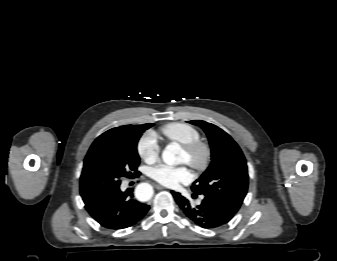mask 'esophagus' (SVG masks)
Returning a JSON list of instances; mask_svg holds the SVG:
<instances>
[{
    "instance_id": "34e87169",
    "label": "esophagus",
    "mask_w": 337,
    "mask_h": 261,
    "mask_svg": "<svg viewBox=\"0 0 337 261\" xmlns=\"http://www.w3.org/2000/svg\"><path fill=\"white\" fill-rule=\"evenodd\" d=\"M155 188L158 189V190H163L164 187L161 186L160 184H154Z\"/></svg>"
}]
</instances>
